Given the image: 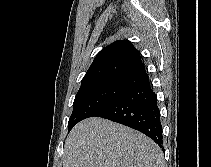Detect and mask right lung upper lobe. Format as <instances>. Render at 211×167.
Masks as SVG:
<instances>
[{
    "instance_id": "right-lung-upper-lobe-1",
    "label": "right lung upper lobe",
    "mask_w": 211,
    "mask_h": 167,
    "mask_svg": "<svg viewBox=\"0 0 211 167\" xmlns=\"http://www.w3.org/2000/svg\"><path fill=\"white\" fill-rule=\"evenodd\" d=\"M145 71L140 52L128 40H118L95 57L81 84L105 78L132 79Z\"/></svg>"
}]
</instances>
